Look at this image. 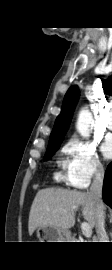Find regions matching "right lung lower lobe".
I'll use <instances>...</instances> for the list:
<instances>
[{
    "label": "right lung lower lobe",
    "mask_w": 112,
    "mask_h": 270,
    "mask_svg": "<svg viewBox=\"0 0 112 270\" xmlns=\"http://www.w3.org/2000/svg\"><path fill=\"white\" fill-rule=\"evenodd\" d=\"M102 196L104 202L112 208V162L105 173Z\"/></svg>",
    "instance_id": "right-lung-lower-lobe-1"
}]
</instances>
